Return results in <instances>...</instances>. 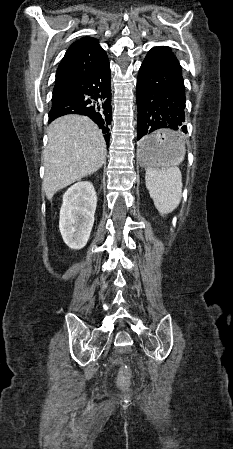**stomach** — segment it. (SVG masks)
Here are the masks:
<instances>
[{
  "label": "stomach",
  "instance_id": "0dacf381",
  "mask_svg": "<svg viewBox=\"0 0 233 449\" xmlns=\"http://www.w3.org/2000/svg\"><path fill=\"white\" fill-rule=\"evenodd\" d=\"M176 136L178 134L164 128H157L155 133H147L138 149L139 162L148 167H163L180 162L184 153Z\"/></svg>",
  "mask_w": 233,
  "mask_h": 449
}]
</instances>
